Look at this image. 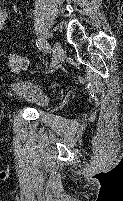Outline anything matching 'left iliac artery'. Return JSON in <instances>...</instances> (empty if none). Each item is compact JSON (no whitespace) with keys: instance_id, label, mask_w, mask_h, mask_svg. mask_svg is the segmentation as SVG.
I'll return each instance as SVG.
<instances>
[{"instance_id":"obj_1","label":"left iliac artery","mask_w":123,"mask_h":201,"mask_svg":"<svg viewBox=\"0 0 123 201\" xmlns=\"http://www.w3.org/2000/svg\"><path fill=\"white\" fill-rule=\"evenodd\" d=\"M36 45L44 52H47L49 50V44L43 38H39L36 42Z\"/></svg>"}]
</instances>
